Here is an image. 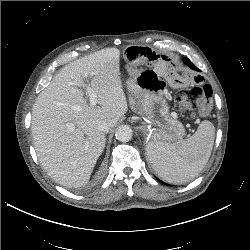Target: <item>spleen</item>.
<instances>
[{
  "mask_svg": "<svg viewBox=\"0 0 250 250\" xmlns=\"http://www.w3.org/2000/svg\"><path fill=\"white\" fill-rule=\"evenodd\" d=\"M215 127L202 121L197 131L175 143L152 140L147 144L148 160L163 180L182 184L194 179L209 160L214 143Z\"/></svg>",
  "mask_w": 250,
  "mask_h": 250,
  "instance_id": "1",
  "label": "spleen"
}]
</instances>
